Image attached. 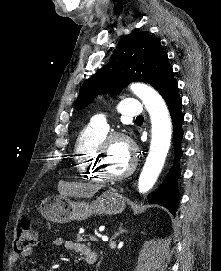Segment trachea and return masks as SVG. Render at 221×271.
Here are the masks:
<instances>
[{
  "label": "trachea",
  "mask_w": 221,
  "mask_h": 271,
  "mask_svg": "<svg viewBox=\"0 0 221 271\" xmlns=\"http://www.w3.org/2000/svg\"><path fill=\"white\" fill-rule=\"evenodd\" d=\"M143 118H144V117L141 116V115L137 116V119H143Z\"/></svg>",
  "instance_id": "1"
}]
</instances>
